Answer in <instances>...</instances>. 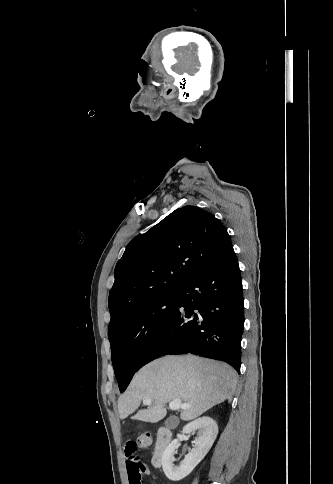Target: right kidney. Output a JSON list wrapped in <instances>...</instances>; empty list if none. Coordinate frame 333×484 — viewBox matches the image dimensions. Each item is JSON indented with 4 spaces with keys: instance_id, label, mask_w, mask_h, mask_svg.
Returning <instances> with one entry per match:
<instances>
[{
    "instance_id": "1",
    "label": "right kidney",
    "mask_w": 333,
    "mask_h": 484,
    "mask_svg": "<svg viewBox=\"0 0 333 484\" xmlns=\"http://www.w3.org/2000/svg\"><path fill=\"white\" fill-rule=\"evenodd\" d=\"M197 432V438L193 449L185 456L179 466H175L174 451L178 447V440H173L165 449L162 456V467L166 477L171 481H180L188 476L193 469L203 460L212 447L217 434L218 426L210 417H202L188 423L183 428V433Z\"/></svg>"
}]
</instances>
